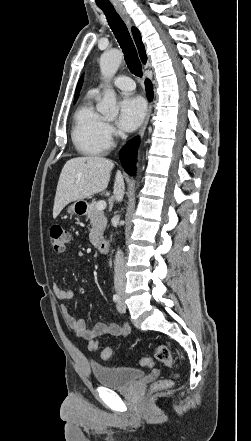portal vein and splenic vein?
Listing matches in <instances>:
<instances>
[{
	"label": "portal vein and splenic vein",
	"instance_id": "1",
	"mask_svg": "<svg viewBox=\"0 0 251 441\" xmlns=\"http://www.w3.org/2000/svg\"><path fill=\"white\" fill-rule=\"evenodd\" d=\"M96 208L98 210H104L106 208V202L104 200L97 202Z\"/></svg>",
	"mask_w": 251,
	"mask_h": 441
}]
</instances>
